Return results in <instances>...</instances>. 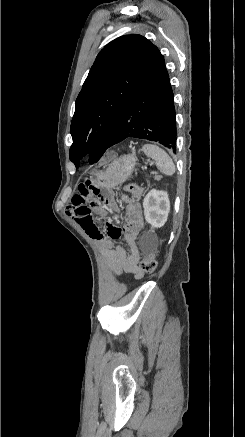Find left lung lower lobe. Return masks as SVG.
<instances>
[{"label":"left lung lower lobe","mask_w":245,"mask_h":437,"mask_svg":"<svg viewBox=\"0 0 245 437\" xmlns=\"http://www.w3.org/2000/svg\"><path fill=\"white\" fill-rule=\"evenodd\" d=\"M173 99L164 57L159 52L123 107L107 148L134 137L176 150Z\"/></svg>","instance_id":"0a47b994"}]
</instances>
